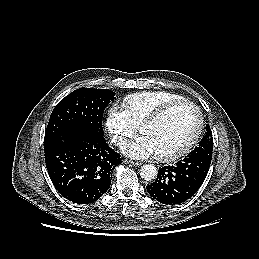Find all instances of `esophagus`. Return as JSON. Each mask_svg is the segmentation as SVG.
I'll list each match as a JSON object with an SVG mask.
<instances>
[{
    "mask_svg": "<svg viewBox=\"0 0 259 259\" xmlns=\"http://www.w3.org/2000/svg\"><path fill=\"white\" fill-rule=\"evenodd\" d=\"M123 162L126 163V164H131L133 166H140L141 165L140 162H133V161H130V160H127V159H124Z\"/></svg>",
    "mask_w": 259,
    "mask_h": 259,
    "instance_id": "1",
    "label": "esophagus"
}]
</instances>
